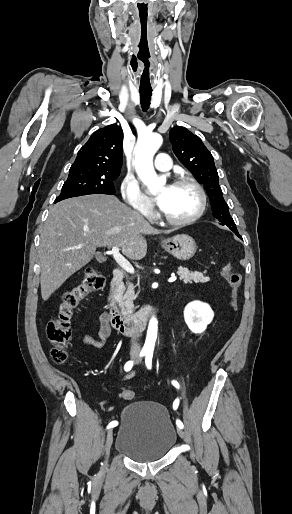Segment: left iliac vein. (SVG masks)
Returning a JSON list of instances; mask_svg holds the SVG:
<instances>
[{
    "label": "left iliac vein",
    "mask_w": 292,
    "mask_h": 514,
    "mask_svg": "<svg viewBox=\"0 0 292 514\" xmlns=\"http://www.w3.org/2000/svg\"><path fill=\"white\" fill-rule=\"evenodd\" d=\"M177 433L181 438H183V439L185 438V433L181 428H179V427L177 428Z\"/></svg>",
    "instance_id": "1"
}]
</instances>
